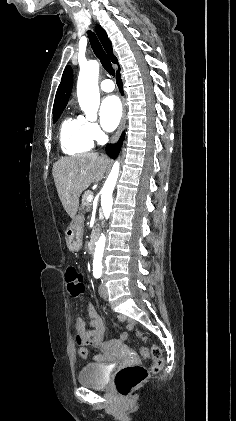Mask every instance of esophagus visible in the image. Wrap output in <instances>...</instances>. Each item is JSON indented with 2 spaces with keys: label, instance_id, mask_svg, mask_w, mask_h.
Returning <instances> with one entry per match:
<instances>
[{
  "label": "esophagus",
  "instance_id": "esophagus-1",
  "mask_svg": "<svg viewBox=\"0 0 236 421\" xmlns=\"http://www.w3.org/2000/svg\"><path fill=\"white\" fill-rule=\"evenodd\" d=\"M122 102H123V115H122V119H121V123L119 125V128H118L117 132L115 133V136L113 137V142H116L119 139V137L121 135V132L124 128L125 121H126V103H125L124 98L122 99Z\"/></svg>",
  "mask_w": 236,
  "mask_h": 421
}]
</instances>
